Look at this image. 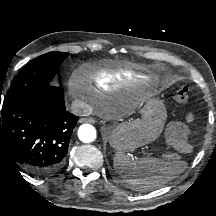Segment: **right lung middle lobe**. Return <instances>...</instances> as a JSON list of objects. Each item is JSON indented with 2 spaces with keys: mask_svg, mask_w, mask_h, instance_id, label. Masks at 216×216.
<instances>
[{
  "mask_svg": "<svg viewBox=\"0 0 216 216\" xmlns=\"http://www.w3.org/2000/svg\"><path fill=\"white\" fill-rule=\"evenodd\" d=\"M67 56L68 53L49 52L32 60L16 76L4 98L3 106L48 86Z\"/></svg>",
  "mask_w": 216,
  "mask_h": 216,
  "instance_id": "right-lung-middle-lobe-1",
  "label": "right lung middle lobe"
}]
</instances>
